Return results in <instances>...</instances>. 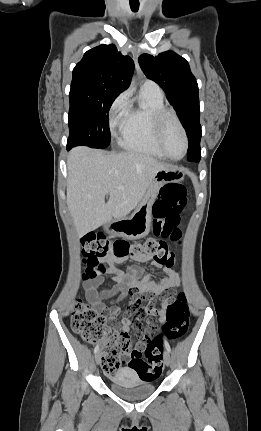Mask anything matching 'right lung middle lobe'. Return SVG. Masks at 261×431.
I'll use <instances>...</instances> for the list:
<instances>
[{
  "label": "right lung middle lobe",
  "instance_id": "right-lung-middle-lobe-1",
  "mask_svg": "<svg viewBox=\"0 0 261 431\" xmlns=\"http://www.w3.org/2000/svg\"><path fill=\"white\" fill-rule=\"evenodd\" d=\"M120 93L86 83H71L67 147L105 148L111 140L108 112Z\"/></svg>",
  "mask_w": 261,
  "mask_h": 431
}]
</instances>
